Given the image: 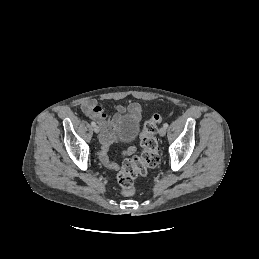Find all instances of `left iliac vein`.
<instances>
[{
  "label": "left iliac vein",
  "mask_w": 259,
  "mask_h": 259,
  "mask_svg": "<svg viewBox=\"0 0 259 259\" xmlns=\"http://www.w3.org/2000/svg\"><path fill=\"white\" fill-rule=\"evenodd\" d=\"M165 134H166V128L161 127L160 130H159V135L160 136H165Z\"/></svg>",
  "instance_id": "1"
}]
</instances>
